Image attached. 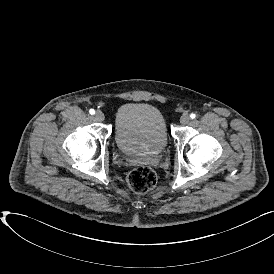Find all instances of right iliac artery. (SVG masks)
<instances>
[{
  "mask_svg": "<svg viewBox=\"0 0 274 274\" xmlns=\"http://www.w3.org/2000/svg\"><path fill=\"white\" fill-rule=\"evenodd\" d=\"M89 113H90L91 115H94V114H95V110H94V109H90V110H89Z\"/></svg>",
  "mask_w": 274,
  "mask_h": 274,
  "instance_id": "right-iliac-artery-1",
  "label": "right iliac artery"
}]
</instances>
